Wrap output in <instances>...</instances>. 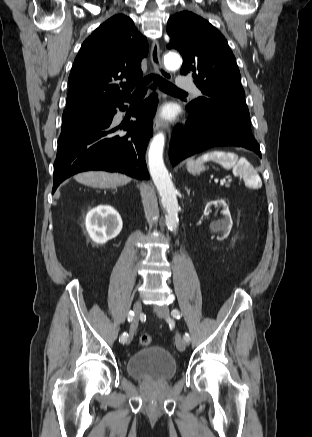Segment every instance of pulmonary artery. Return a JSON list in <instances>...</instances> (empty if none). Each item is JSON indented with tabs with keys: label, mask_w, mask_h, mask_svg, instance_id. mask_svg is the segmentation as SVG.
I'll return each mask as SVG.
<instances>
[{
	"label": "pulmonary artery",
	"mask_w": 312,
	"mask_h": 437,
	"mask_svg": "<svg viewBox=\"0 0 312 437\" xmlns=\"http://www.w3.org/2000/svg\"><path fill=\"white\" fill-rule=\"evenodd\" d=\"M175 83L179 89H188L192 90L195 94H199V91L194 87L192 81L185 75H178Z\"/></svg>",
	"instance_id": "obj_1"
}]
</instances>
